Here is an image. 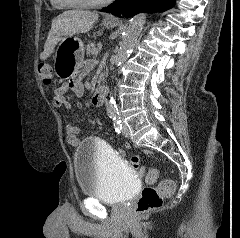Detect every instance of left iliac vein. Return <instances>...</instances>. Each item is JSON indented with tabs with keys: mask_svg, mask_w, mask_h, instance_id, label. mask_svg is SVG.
<instances>
[{
	"mask_svg": "<svg viewBox=\"0 0 240 238\" xmlns=\"http://www.w3.org/2000/svg\"><path fill=\"white\" fill-rule=\"evenodd\" d=\"M122 133H123V135L125 137H129L130 136V130H129L128 126L125 123L122 124Z\"/></svg>",
	"mask_w": 240,
	"mask_h": 238,
	"instance_id": "1",
	"label": "left iliac vein"
}]
</instances>
